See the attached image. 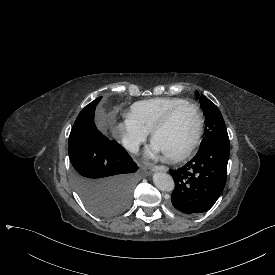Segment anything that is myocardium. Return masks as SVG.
I'll use <instances>...</instances> for the list:
<instances>
[{
    "mask_svg": "<svg viewBox=\"0 0 275 275\" xmlns=\"http://www.w3.org/2000/svg\"><path fill=\"white\" fill-rule=\"evenodd\" d=\"M184 107H190L194 111L195 119H196L195 131H194L192 138L189 140V142L183 148H181L180 150H178L177 152H175L173 154H164V156L168 160H171V161H177V160H181V159L185 158L187 155H189L192 152V150L197 145V143L200 139L201 133H202V125H203V121H202V117H201L199 108L194 103L188 102V101L178 104V105L172 107L165 114V116L162 118V120L159 121L157 124H155V126L152 128V130L150 132L151 141L153 142L154 137L159 132L166 129L169 126V124L171 123L173 116L180 109H182Z\"/></svg>",
    "mask_w": 275,
    "mask_h": 275,
    "instance_id": "myocardium-1",
    "label": "myocardium"
}]
</instances>
